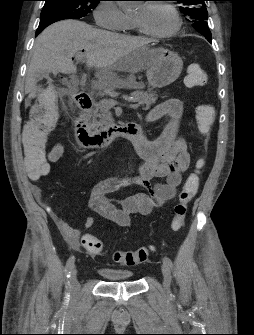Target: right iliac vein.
<instances>
[{
	"mask_svg": "<svg viewBox=\"0 0 254 335\" xmlns=\"http://www.w3.org/2000/svg\"><path fill=\"white\" fill-rule=\"evenodd\" d=\"M71 291L74 295H77L79 293L80 285L77 279V269L73 268L71 271Z\"/></svg>",
	"mask_w": 254,
	"mask_h": 335,
	"instance_id": "obj_1",
	"label": "right iliac vein"
}]
</instances>
